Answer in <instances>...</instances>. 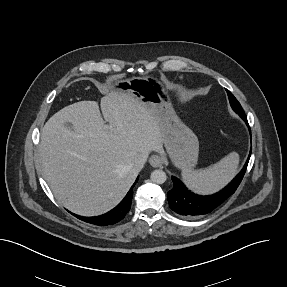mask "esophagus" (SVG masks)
Segmentation results:
<instances>
[{"mask_svg":"<svg viewBox=\"0 0 287 287\" xmlns=\"http://www.w3.org/2000/svg\"><path fill=\"white\" fill-rule=\"evenodd\" d=\"M149 163L151 164V166L153 167H161L163 162H162V158L158 155H152L149 158Z\"/></svg>","mask_w":287,"mask_h":287,"instance_id":"1","label":"esophagus"}]
</instances>
